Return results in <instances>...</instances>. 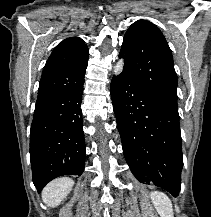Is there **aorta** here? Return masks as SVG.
I'll list each match as a JSON object with an SVG mask.
<instances>
[{
    "mask_svg": "<svg viewBox=\"0 0 211 217\" xmlns=\"http://www.w3.org/2000/svg\"><path fill=\"white\" fill-rule=\"evenodd\" d=\"M123 67H124V60L120 59L114 67V74L119 75L122 72Z\"/></svg>",
    "mask_w": 211,
    "mask_h": 217,
    "instance_id": "1",
    "label": "aorta"
}]
</instances>
